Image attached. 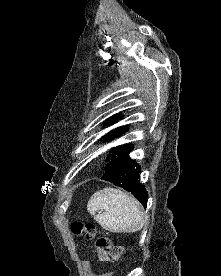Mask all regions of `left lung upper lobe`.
<instances>
[{
    "mask_svg": "<svg viewBox=\"0 0 221 276\" xmlns=\"http://www.w3.org/2000/svg\"><path fill=\"white\" fill-rule=\"evenodd\" d=\"M123 116L121 115V113H118L114 116H112L111 118L108 119V121H106L105 124L109 125L111 124L112 122H116L118 121L120 118H122ZM127 131V128H124V127H119V128H116L114 130H112L109 134H107L106 136H104L106 138V140L108 141H111L113 139H115L116 137H119L122 133H125ZM112 133V134H111ZM132 147V145H121V146H117V147H113L112 148V153L114 154H109L107 156V160H110L111 157H113L114 155L118 154L119 152L121 151H125V150H128Z\"/></svg>",
    "mask_w": 221,
    "mask_h": 276,
    "instance_id": "left-lung-upper-lobe-1",
    "label": "left lung upper lobe"
}]
</instances>
